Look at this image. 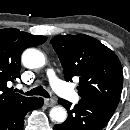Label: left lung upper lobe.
I'll use <instances>...</instances> for the list:
<instances>
[{
	"instance_id": "left-lung-upper-lobe-1",
	"label": "left lung upper lobe",
	"mask_w": 130,
	"mask_h": 130,
	"mask_svg": "<svg viewBox=\"0 0 130 130\" xmlns=\"http://www.w3.org/2000/svg\"><path fill=\"white\" fill-rule=\"evenodd\" d=\"M51 44L61 61L66 81L80 79L81 100L116 110L123 87L121 63L116 54L97 39L84 34L58 35Z\"/></svg>"
}]
</instances>
